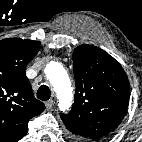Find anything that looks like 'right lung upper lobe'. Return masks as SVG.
I'll list each match as a JSON object with an SVG mask.
<instances>
[{
	"mask_svg": "<svg viewBox=\"0 0 142 142\" xmlns=\"http://www.w3.org/2000/svg\"><path fill=\"white\" fill-rule=\"evenodd\" d=\"M40 42L9 38L0 40V142H17L28 131V121L45 106L34 97L26 65L40 49Z\"/></svg>",
	"mask_w": 142,
	"mask_h": 142,
	"instance_id": "right-lung-upper-lobe-1",
	"label": "right lung upper lobe"
}]
</instances>
